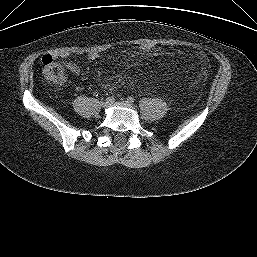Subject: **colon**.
Segmentation results:
<instances>
[{
    "mask_svg": "<svg viewBox=\"0 0 257 257\" xmlns=\"http://www.w3.org/2000/svg\"><path fill=\"white\" fill-rule=\"evenodd\" d=\"M142 53H150L155 50V47L149 43H142L139 46ZM43 73L45 77L56 84H61L65 80L64 68L57 63L50 55L42 57Z\"/></svg>",
    "mask_w": 257,
    "mask_h": 257,
    "instance_id": "1",
    "label": "colon"
}]
</instances>
